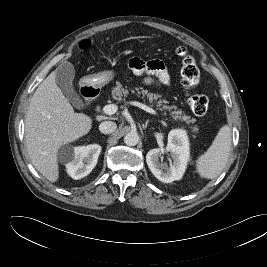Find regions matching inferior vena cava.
<instances>
[{
    "label": "inferior vena cava",
    "instance_id": "602c4592",
    "mask_svg": "<svg viewBox=\"0 0 267 267\" xmlns=\"http://www.w3.org/2000/svg\"><path fill=\"white\" fill-rule=\"evenodd\" d=\"M116 128H117L116 123L112 121H104L101 122L99 125V130L103 134H111L116 130Z\"/></svg>",
    "mask_w": 267,
    "mask_h": 267
}]
</instances>
